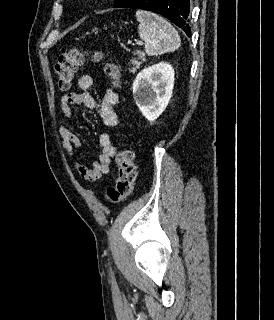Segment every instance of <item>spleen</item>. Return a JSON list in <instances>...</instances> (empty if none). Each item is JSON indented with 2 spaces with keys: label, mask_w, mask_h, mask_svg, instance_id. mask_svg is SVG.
<instances>
[{
  "label": "spleen",
  "mask_w": 274,
  "mask_h": 320,
  "mask_svg": "<svg viewBox=\"0 0 274 320\" xmlns=\"http://www.w3.org/2000/svg\"><path fill=\"white\" fill-rule=\"evenodd\" d=\"M136 18L139 22V38L144 40L148 56H161L166 52L178 50L180 36L170 22L144 10H138Z\"/></svg>",
  "instance_id": "3e777b00"
}]
</instances>
